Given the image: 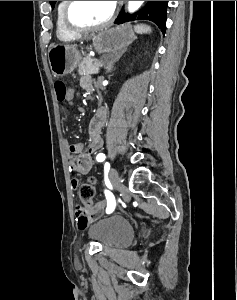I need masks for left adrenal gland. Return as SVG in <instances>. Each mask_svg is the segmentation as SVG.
<instances>
[{
    "instance_id": "1",
    "label": "left adrenal gland",
    "mask_w": 237,
    "mask_h": 300,
    "mask_svg": "<svg viewBox=\"0 0 237 300\" xmlns=\"http://www.w3.org/2000/svg\"><path fill=\"white\" fill-rule=\"evenodd\" d=\"M125 51H127V49H121V51H118V53H115V55H109V57H102V61L106 69V73H111L113 69V65H115V63H117L119 59H121Z\"/></svg>"
}]
</instances>
